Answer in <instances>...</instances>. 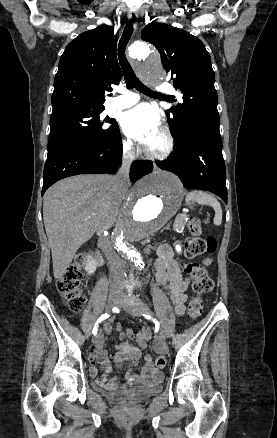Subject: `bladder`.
<instances>
[{
	"label": "bladder",
	"instance_id": "31cf9c89",
	"mask_svg": "<svg viewBox=\"0 0 277 438\" xmlns=\"http://www.w3.org/2000/svg\"><path fill=\"white\" fill-rule=\"evenodd\" d=\"M159 382L160 380L158 379L156 383L150 382V384L145 388H139L134 391L120 392L116 395L115 401L118 403L137 402L138 400L144 401L148 399L153 387L159 384Z\"/></svg>",
	"mask_w": 277,
	"mask_h": 438
}]
</instances>
